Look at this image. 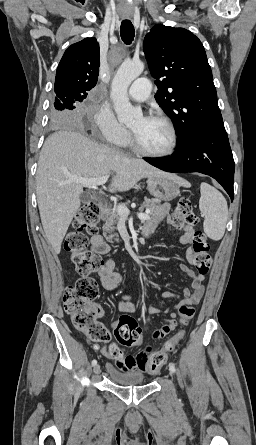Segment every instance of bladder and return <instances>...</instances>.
Here are the masks:
<instances>
[{
  "label": "bladder",
  "instance_id": "obj_1",
  "mask_svg": "<svg viewBox=\"0 0 256 445\" xmlns=\"http://www.w3.org/2000/svg\"><path fill=\"white\" fill-rule=\"evenodd\" d=\"M108 372L112 381L120 385H140L144 382V376L139 371H120L113 366H108Z\"/></svg>",
  "mask_w": 256,
  "mask_h": 445
}]
</instances>
